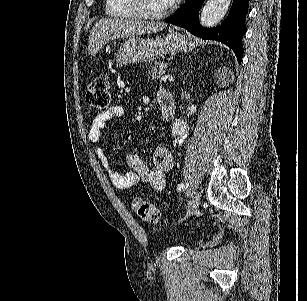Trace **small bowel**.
<instances>
[{
  "instance_id": "1",
  "label": "small bowel",
  "mask_w": 307,
  "mask_h": 301,
  "mask_svg": "<svg viewBox=\"0 0 307 301\" xmlns=\"http://www.w3.org/2000/svg\"><path fill=\"white\" fill-rule=\"evenodd\" d=\"M124 113L125 109L121 105L111 106L99 113L91 122L88 139L97 143L106 123L122 117ZM95 154L101 165L109 172L113 185L119 189H128L137 184L145 183L154 190L161 191L166 187V173L173 165L172 154L165 146H159L155 150V166L153 168H150L139 155L129 154L126 161L131 171L126 174H120L113 169L103 148H96Z\"/></svg>"
}]
</instances>
